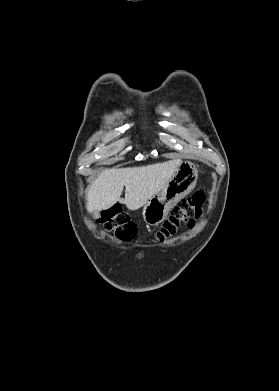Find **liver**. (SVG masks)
I'll return each instance as SVG.
<instances>
[{
    "label": "liver",
    "instance_id": "obj_1",
    "mask_svg": "<svg viewBox=\"0 0 279 391\" xmlns=\"http://www.w3.org/2000/svg\"><path fill=\"white\" fill-rule=\"evenodd\" d=\"M181 162L173 159L141 167L103 170L88 189V212L108 209L118 201L133 211L141 208L164 188ZM124 186L125 199H121Z\"/></svg>",
    "mask_w": 279,
    "mask_h": 391
}]
</instances>
